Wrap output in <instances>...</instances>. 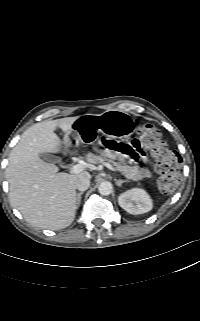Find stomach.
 <instances>
[{"label":"stomach","mask_w":200,"mask_h":321,"mask_svg":"<svg viewBox=\"0 0 200 321\" xmlns=\"http://www.w3.org/2000/svg\"><path fill=\"white\" fill-rule=\"evenodd\" d=\"M135 131L131 116L120 110H109L102 114H84L72 124L69 135L71 145L91 144L102 133L109 138H125Z\"/></svg>","instance_id":"0dacf381"}]
</instances>
